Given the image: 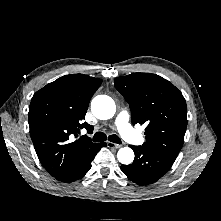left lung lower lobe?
Masks as SVG:
<instances>
[{"label":"left lung lower lobe","instance_id":"obj_1","mask_svg":"<svg viewBox=\"0 0 221 221\" xmlns=\"http://www.w3.org/2000/svg\"><path fill=\"white\" fill-rule=\"evenodd\" d=\"M134 153V162L122 165L121 170L138 185H146L160 179L173 165L176 157L145 146H130Z\"/></svg>","mask_w":221,"mask_h":221}]
</instances>
